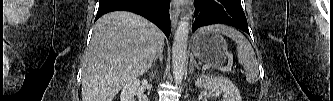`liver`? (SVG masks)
<instances>
[{
	"instance_id": "liver-1",
	"label": "liver",
	"mask_w": 333,
	"mask_h": 101,
	"mask_svg": "<svg viewBox=\"0 0 333 101\" xmlns=\"http://www.w3.org/2000/svg\"><path fill=\"white\" fill-rule=\"evenodd\" d=\"M163 47V33L147 19L126 11L102 16L82 64V101H113L129 80L150 69Z\"/></svg>"
}]
</instances>
